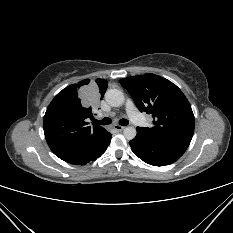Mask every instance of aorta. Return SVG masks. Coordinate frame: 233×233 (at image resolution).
I'll return each instance as SVG.
<instances>
[{"instance_id": "obj_1", "label": "aorta", "mask_w": 233, "mask_h": 233, "mask_svg": "<svg viewBox=\"0 0 233 233\" xmlns=\"http://www.w3.org/2000/svg\"><path fill=\"white\" fill-rule=\"evenodd\" d=\"M106 102L112 107H120L125 101V97L122 91L118 89H109L105 93ZM124 137L127 140H132L135 138L137 131L135 127L128 126L123 131Z\"/></svg>"}]
</instances>
